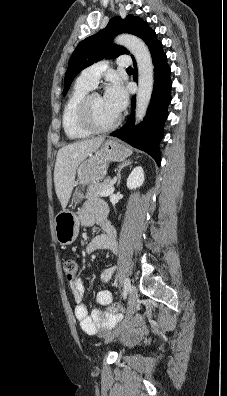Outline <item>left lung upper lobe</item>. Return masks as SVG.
<instances>
[{
  "instance_id": "1",
  "label": "left lung upper lobe",
  "mask_w": 227,
  "mask_h": 396,
  "mask_svg": "<svg viewBox=\"0 0 227 396\" xmlns=\"http://www.w3.org/2000/svg\"><path fill=\"white\" fill-rule=\"evenodd\" d=\"M120 33L136 35L146 44L156 38L155 32L147 22L139 17L128 15L124 20L121 17H113L103 30L84 39L76 47L65 74L63 96L66 95L74 77L84 68L103 58H115L119 54H129L126 48L112 43L113 38Z\"/></svg>"
}]
</instances>
